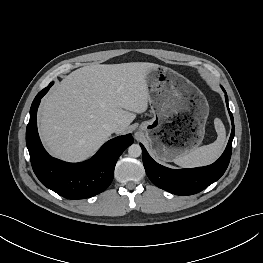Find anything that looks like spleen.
<instances>
[{
  "instance_id": "obj_1",
  "label": "spleen",
  "mask_w": 263,
  "mask_h": 263,
  "mask_svg": "<svg viewBox=\"0 0 263 263\" xmlns=\"http://www.w3.org/2000/svg\"><path fill=\"white\" fill-rule=\"evenodd\" d=\"M214 126L217 139L213 143L201 146L188 154L177 157L173 162L183 168L200 167L213 163L221 155L226 142V131L223 122L216 118Z\"/></svg>"
}]
</instances>
